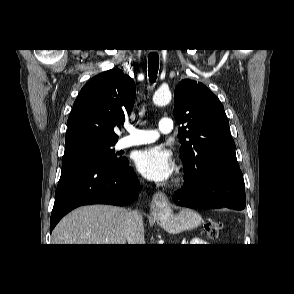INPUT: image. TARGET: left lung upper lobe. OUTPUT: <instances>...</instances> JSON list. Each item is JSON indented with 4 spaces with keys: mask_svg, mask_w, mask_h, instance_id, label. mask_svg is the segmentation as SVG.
Masks as SVG:
<instances>
[{
    "mask_svg": "<svg viewBox=\"0 0 294 294\" xmlns=\"http://www.w3.org/2000/svg\"><path fill=\"white\" fill-rule=\"evenodd\" d=\"M174 117L187 178L216 168L239 169L229 121L220 100L204 84L181 80L175 88Z\"/></svg>",
    "mask_w": 294,
    "mask_h": 294,
    "instance_id": "1",
    "label": "left lung upper lobe"
}]
</instances>
